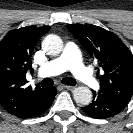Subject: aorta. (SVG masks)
Segmentation results:
<instances>
[{
  "instance_id": "762f6f07",
  "label": "aorta",
  "mask_w": 133,
  "mask_h": 133,
  "mask_svg": "<svg viewBox=\"0 0 133 133\" xmlns=\"http://www.w3.org/2000/svg\"><path fill=\"white\" fill-rule=\"evenodd\" d=\"M42 46L47 54L55 56L62 51L63 42L59 36L50 34L44 38ZM73 97L77 103L88 105L92 100V91L88 87L79 86L74 89Z\"/></svg>"
}]
</instances>
